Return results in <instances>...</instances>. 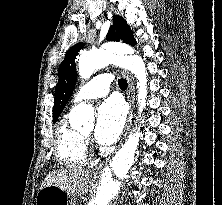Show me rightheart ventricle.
I'll use <instances>...</instances> for the list:
<instances>
[{
    "label": "right heart ventricle",
    "instance_id": "right-heart-ventricle-1",
    "mask_svg": "<svg viewBox=\"0 0 222 205\" xmlns=\"http://www.w3.org/2000/svg\"><path fill=\"white\" fill-rule=\"evenodd\" d=\"M55 153L60 164L67 167H81L88 160L85 139L69 125L67 119H63L57 127Z\"/></svg>",
    "mask_w": 222,
    "mask_h": 205
}]
</instances>
